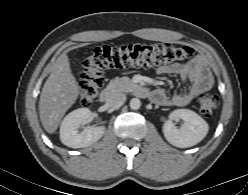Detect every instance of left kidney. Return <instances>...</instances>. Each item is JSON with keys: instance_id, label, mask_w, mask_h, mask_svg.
Instances as JSON below:
<instances>
[{"instance_id": "1", "label": "left kidney", "mask_w": 248, "mask_h": 195, "mask_svg": "<svg viewBox=\"0 0 248 195\" xmlns=\"http://www.w3.org/2000/svg\"><path fill=\"white\" fill-rule=\"evenodd\" d=\"M182 120L183 125L178 128L173 121ZM207 122L197 113L189 109H176L169 115L163 125V133L166 140L173 146L187 148L196 145L208 133Z\"/></svg>"}]
</instances>
